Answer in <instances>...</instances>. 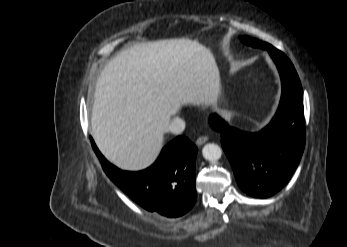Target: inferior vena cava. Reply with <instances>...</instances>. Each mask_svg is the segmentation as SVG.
I'll list each match as a JSON object with an SVG mask.
<instances>
[{
    "label": "inferior vena cava",
    "mask_w": 347,
    "mask_h": 247,
    "mask_svg": "<svg viewBox=\"0 0 347 247\" xmlns=\"http://www.w3.org/2000/svg\"><path fill=\"white\" fill-rule=\"evenodd\" d=\"M185 129V121L179 117H174L169 126L167 127V131L173 134H181Z\"/></svg>",
    "instance_id": "1"
}]
</instances>
